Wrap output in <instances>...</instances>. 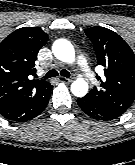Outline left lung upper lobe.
Segmentation results:
<instances>
[{"instance_id": "obj_1", "label": "left lung upper lobe", "mask_w": 135, "mask_h": 165, "mask_svg": "<svg viewBox=\"0 0 135 165\" xmlns=\"http://www.w3.org/2000/svg\"><path fill=\"white\" fill-rule=\"evenodd\" d=\"M92 41L99 65L105 67L101 88L94 87L92 96L118 114H123L135 100V54L129 45L114 31L104 27L85 30Z\"/></svg>"}]
</instances>
